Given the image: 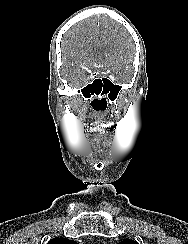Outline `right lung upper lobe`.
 I'll return each mask as SVG.
<instances>
[{"mask_svg":"<svg viewBox=\"0 0 188 244\" xmlns=\"http://www.w3.org/2000/svg\"><path fill=\"white\" fill-rule=\"evenodd\" d=\"M48 244H78V243L74 240H69L67 238L55 237V238L51 239L48 242Z\"/></svg>","mask_w":188,"mask_h":244,"instance_id":"obj_1","label":"right lung upper lobe"}]
</instances>
